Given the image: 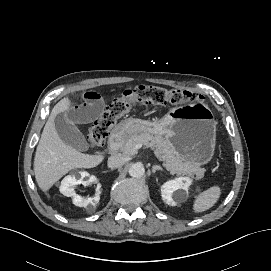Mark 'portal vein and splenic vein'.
<instances>
[{"label": "portal vein and splenic vein", "mask_w": 271, "mask_h": 271, "mask_svg": "<svg viewBox=\"0 0 271 271\" xmlns=\"http://www.w3.org/2000/svg\"><path fill=\"white\" fill-rule=\"evenodd\" d=\"M142 147V144H137L135 147H134V150H138Z\"/></svg>", "instance_id": "portal-vein-and-splenic-vein-1"}]
</instances>
